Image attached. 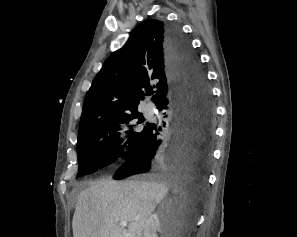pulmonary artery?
<instances>
[{
  "instance_id": "e3ab8cb5",
  "label": "pulmonary artery",
  "mask_w": 297,
  "mask_h": 237,
  "mask_svg": "<svg viewBox=\"0 0 297 237\" xmlns=\"http://www.w3.org/2000/svg\"><path fill=\"white\" fill-rule=\"evenodd\" d=\"M147 113H148L149 115H151V114L153 113V106H152V105H148V106H147Z\"/></svg>"
}]
</instances>
